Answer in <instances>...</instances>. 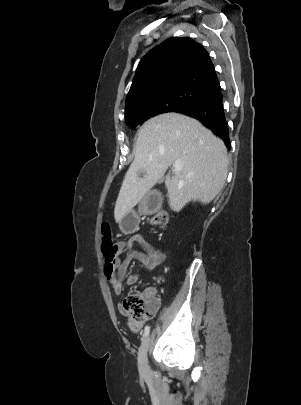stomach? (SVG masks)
I'll list each match as a JSON object with an SVG mask.
<instances>
[{"label": "stomach", "mask_w": 301, "mask_h": 405, "mask_svg": "<svg viewBox=\"0 0 301 405\" xmlns=\"http://www.w3.org/2000/svg\"><path fill=\"white\" fill-rule=\"evenodd\" d=\"M138 221V215L134 211H129L119 222V225L123 231H129L132 229L131 225H136Z\"/></svg>", "instance_id": "0dacf381"}]
</instances>
